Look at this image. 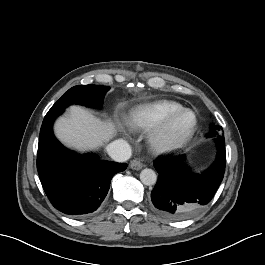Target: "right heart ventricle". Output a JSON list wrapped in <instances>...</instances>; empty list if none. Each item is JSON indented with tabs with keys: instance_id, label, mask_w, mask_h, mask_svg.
<instances>
[{
	"instance_id": "right-heart-ventricle-1",
	"label": "right heart ventricle",
	"mask_w": 265,
	"mask_h": 265,
	"mask_svg": "<svg viewBox=\"0 0 265 265\" xmlns=\"http://www.w3.org/2000/svg\"><path fill=\"white\" fill-rule=\"evenodd\" d=\"M183 108L182 104L173 100H159L142 105L129 113L125 124L135 131H151L169 114Z\"/></svg>"
}]
</instances>
